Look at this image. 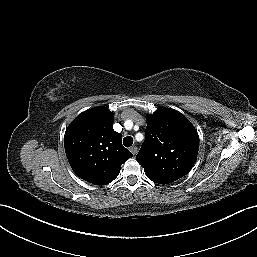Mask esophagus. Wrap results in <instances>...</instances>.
Listing matches in <instances>:
<instances>
[{
	"mask_svg": "<svg viewBox=\"0 0 257 257\" xmlns=\"http://www.w3.org/2000/svg\"><path fill=\"white\" fill-rule=\"evenodd\" d=\"M130 151H131V153H132L133 155H136V154H137L138 149H137V147H136V146H132V147H130Z\"/></svg>",
	"mask_w": 257,
	"mask_h": 257,
	"instance_id": "1",
	"label": "esophagus"
}]
</instances>
